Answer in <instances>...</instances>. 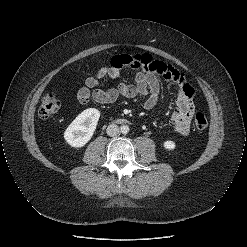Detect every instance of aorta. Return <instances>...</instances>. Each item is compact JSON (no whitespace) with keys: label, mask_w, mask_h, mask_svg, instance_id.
Here are the masks:
<instances>
[{"label":"aorta","mask_w":247,"mask_h":247,"mask_svg":"<svg viewBox=\"0 0 247 247\" xmlns=\"http://www.w3.org/2000/svg\"><path fill=\"white\" fill-rule=\"evenodd\" d=\"M120 132H121L122 134H127V133L129 132V126H127V125H122V126L120 127Z\"/></svg>","instance_id":"1"}]
</instances>
